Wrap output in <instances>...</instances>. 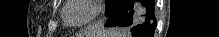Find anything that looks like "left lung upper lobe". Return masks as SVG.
I'll list each match as a JSON object with an SVG mask.
<instances>
[{"label": "left lung upper lobe", "instance_id": "5c2ea615", "mask_svg": "<svg viewBox=\"0 0 219 37\" xmlns=\"http://www.w3.org/2000/svg\"><path fill=\"white\" fill-rule=\"evenodd\" d=\"M118 0H106V16L109 17L114 7L116 6Z\"/></svg>", "mask_w": 219, "mask_h": 37}]
</instances>
